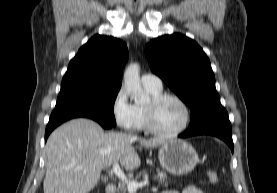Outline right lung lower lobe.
<instances>
[{
    "mask_svg": "<svg viewBox=\"0 0 277 193\" xmlns=\"http://www.w3.org/2000/svg\"><path fill=\"white\" fill-rule=\"evenodd\" d=\"M78 117L90 118L97 121L102 127L110 129L113 127L110 123L102 120L101 118L86 112L72 111V110H54L50 116L49 122L46 126L45 131V141L47 140L49 134L63 122Z\"/></svg>",
    "mask_w": 277,
    "mask_h": 193,
    "instance_id": "obj_1",
    "label": "right lung lower lobe"
}]
</instances>
